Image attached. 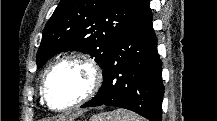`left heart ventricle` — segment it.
Listing matches in <instances>:
<instances>
[{
  "label": "left heart ventricle",
  "instance_id": "left-heart-ventricle-1",
  "mask_svg": "<svg viewBox=\"0 0 217 121\" xmlns=\"http://www.w3.org/2000/svg\"><path fill=\"white\" fill-rule=\"evenodd\" d=\"M91 72L81 63H69L59 67L52 75L48 93L55 107L69 105L80 98L91 84Z\"/></svg>",
  "mask_w": 217,
  "mask_h": 121
}]
</instances>
